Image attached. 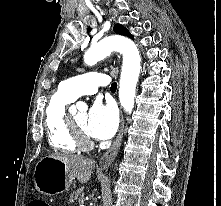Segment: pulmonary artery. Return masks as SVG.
I'll return each instance as SVG.
<instances>
[{
    "label": "pulmonary artery",
    "mask_w": 221,
    "mask_h": 206,
    "mask_svg": "<svg viewBox=\"0 0 221 206\" xmlns=\"http://www.w3.org/2000/svg\"><path fill=\"white\" fill-rule=\"evenodd\" d=\"M110 83V76L97 72H90L67 79L63 81L61 85L67 94L77 99L81 95L95 94L99 87L108 86Z\"/></svg>",
    "instance_id": "e3ab8cb5"
}]
</instances>
